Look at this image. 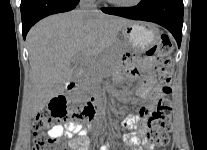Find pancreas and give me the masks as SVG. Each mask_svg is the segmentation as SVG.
<instances>
[{"label": "pancreas", "mask_w": 207, "mask_h": 150, "mask_svg": "<svg viewBox=\"0 0 207 150\" xmlns=\"http://www.w3.org/2000/svg\"><path fill=\"white\" fill-rule=\"evenodd\" d=\"M116 57L117 55L115 53H108L103 57L96 58L82 79L81 88L85 91L92 92L98 86L99 80L105 70L113 66Z\"/></svg>", "instance_id": "pancreas-1"}]
</instances>
